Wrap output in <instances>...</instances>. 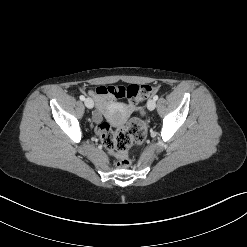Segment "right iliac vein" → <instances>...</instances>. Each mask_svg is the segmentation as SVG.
I'll return each mask as SVG.
<instances>
[{"label":"right iliac vein","instance_id":"obj_1","mask_svg":"<svg viewBox=\"0 0 247 247\" xmlns=\"http://www.w3.org/2000/svg\"><path fill=\"white\" fill-rule=\"evenodd\" d=\"M84 104H85V106H86L87 108H89V109H91V108L94 107V102H93V100H92L91 98H86V99L84 100Z\"/></svg>","mask_w":247,"mask_h":247}]
</instances>
